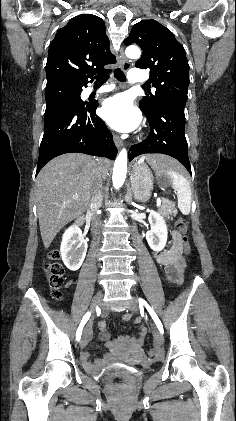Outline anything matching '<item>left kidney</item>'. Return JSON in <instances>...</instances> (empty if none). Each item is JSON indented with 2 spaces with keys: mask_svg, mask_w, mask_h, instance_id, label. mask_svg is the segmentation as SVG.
Wrapping results in <instances>:
<instances>
[{
  "mask_svg": "<svg viewBox=\"0 0 236 421\" xmlns=\"http://www.w3.org/2000/svg\"><path fill=\"white\" fill-rule=\"evenodd\" d=\"M150 231L146 233L149 247L153 251H162L167 243V227L165 221L156 211H150L149 215Z\"/></svg>",
  "mask_w": 236,
  "mask_h": 421,
  "instance_id": "left-kidney-1",
  "label": "left kidney"
}]
</instances>
